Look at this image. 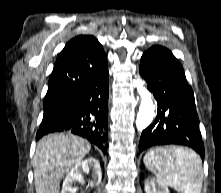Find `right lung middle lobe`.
<instances>
[{
    "instance_id": "right-lung-middle-lobe-1",
    "label": "right lung middle lobe",
    "mask_w": 221,
    "mask_h": 193,
    "mask_svg": "<svg viewBox=\"0 0 221 193\" xmlns=\"http://www.w3.org/2000/svg\"><path fill=\"white\" fill-rule=\"evenodd\" d=\"M69 100H54L44 102V115L42 121H48L68 109Z\"/></svg>"
}]
</instances>
